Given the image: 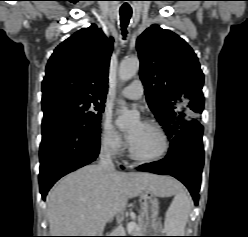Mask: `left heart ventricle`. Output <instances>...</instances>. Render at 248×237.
Returning a JSON list of instances; mask_svg holds the SVG:
<instances>
[{"label":"left heart ventricle","instance_id":"1","mask_svg":"<svg viewBox=\"0 0 248 237\" xmlns=\"http://www.w3.org/2000/svg\"><path fill=\"white\" fill-rule=\"evenodd\" d=\"M138 123L132 124L130 130ZM131 146L142 156H154L161 151L163 144L160 135L153 128L141 123Z\"/></svg>","mask_w":248,"mask_h":237}]
</instances>
